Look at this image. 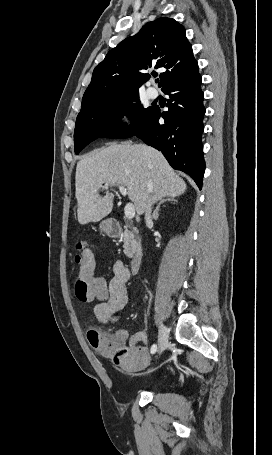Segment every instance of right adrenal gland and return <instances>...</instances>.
Returning a JSON list of instances; mask_svg holds the SVG:
<instances>
[{"instance_id": "2a0ac1e0", "label": "right adrenal gland", "mask_w": 272, "mask_h": 455, "mask_svg": "<svg viewBox=\"0 0 272 455\" xmlns=\"http://www.w3.org/2000/svg\"><path fill=\"white\" fill-rule=\"evenodd\" d=\"M169 201L174 202V203L177 202V200H176L174 197H172V196H168V197H164V198H161V199H160V202H159V204L157 205V207H156V209L154 210L153 215H152V218H153L154 220H157V219H158V216H159L158 212H159L160 206H161L163 203L169 202Z\"/></svg>"}]
</instances>
